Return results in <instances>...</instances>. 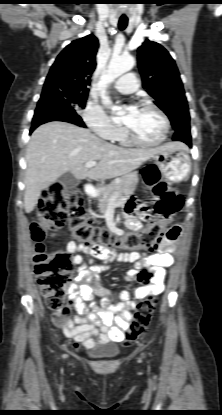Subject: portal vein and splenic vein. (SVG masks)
Here are the masks:
<instances>
[{
	"mask_svg": "<svg viewBox=\"0 0 222 415\" xmlns=\"http://www.w3.org/2000/svg\"><path fill=\"white\" fill-rule=\"evenodd\" d=\"M97 165V162L96 161H88V162H86L85 163V167L86 168H91V167H94V166H96ZM110 201H111V203L113 204L114 203V201H115V197H112L111 199H110Z\"/></svg>",
	"mask_w": 222,
	"mask_h": 415,
	"instance_id": "1",
	"label": "portal vein and splenic vein"
}]
</instances>
